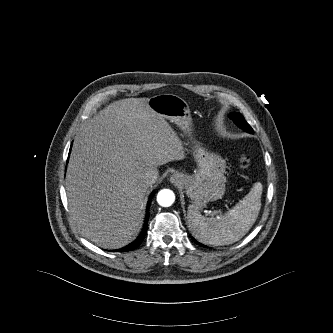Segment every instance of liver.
I'll return each instance as SVG.
<instances>
[{
  "instance_id": "liver-1",
  "label": "liver",
  "mask_w": 333,
  "mask_h": 333,
  "mask_svg": "<svg viewBox=\"0 0 333 333\" xmlns=\"http://www.w3.org/2000/svg\"><path fill=\"white\" fill-rule=\"evenodd\" d=\"M185 157L183 143L148 98L115 101L76 136L66 190L83 237L101 248L127 245L143 218L146 173Z\"/></svg>"
}]
</instances>
